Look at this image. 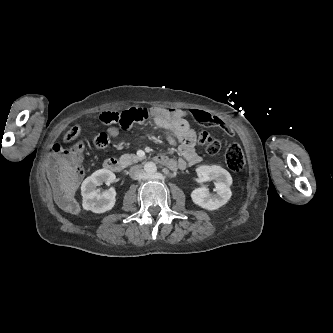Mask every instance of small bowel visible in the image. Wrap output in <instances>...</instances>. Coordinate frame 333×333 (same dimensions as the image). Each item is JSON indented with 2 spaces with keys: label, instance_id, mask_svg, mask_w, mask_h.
Wrapping results in <instances>:
<instances>
[{
  "label": "small bowel",
  "instance_id": "obj_1",
  "mask_svg": "<svg viewBox=\"0 0 333 333\" xmlns=\"http://www.w3.org/2000/svg\"><path fill=\"white\" fill-rule=\"evenodd\" d=\"M146 108V107H144ZM156 111V116L152 119L153 123L159 127L164 128L169 132L168 139L170 143H179V152L181 158L178 160L160 156L161 163L167 165L171 169H184L187 164H198L201 162V157L195 150L196 137L190 127L188 117H191L198 124L209 127H219L230 135H235V130L230 127L226 122L222 121L219 117L213 116L203 110H189L187 113L179 109H167L162 107H152ZM131 124L122 126L127 129ZM111 136H116L119 133V128L112 126L108 129ZM83 148L78 150L77 153L66 152L61 155H54V158L59 163H73L77 165L78 172L82 173L80 163L82 161ZM73 202H69L71 206Z\"/></svg>",
  "mask_w": 333,
  "mask_h": 333
}]
</instances>
